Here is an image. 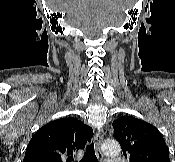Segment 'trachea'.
Returning <instances> with one entry per match:
<instances>
[{
	"instance_id": "trachea-1",
	"label": "trachea",
	"mask_w": 175,
	"mask_h": 162,
	"mask_svg": "<svg viewBox=\"0 0 175 162\" xmlns=\"http://www.w3.org/2000/svg\"><path fill=\"white\" fill-rule=\"evenodd\" d=\"M81 162H98L95 155L93 142L87 145L84 157L82 158Z\"/></svg>"
}]
</instances>
